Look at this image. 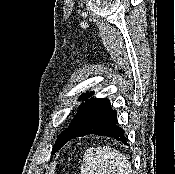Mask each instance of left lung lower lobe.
Returning a JSON list of instances; mask_svg holds the SVG:
<instances>
[{
	"instance_id": "1",
	"label": "left lung lower lobe",
	"mask_w": 175,
	"mask_h": 174,
	"mask_svg": "<svg viewBox=\"0 0 175 174\" xmlns=\"http://www.w3.org/2000/svg\"><path fill=\"white\" fill-rule=\"evenodd\" d=\"M94 92L86 94V100L79 106V110L63 136V145L70 139L96 134L113 137L127 145L124 130L117 126V112L111 108L106 98H91Z\"/></svg>"
}]
</instances>
